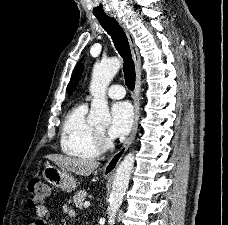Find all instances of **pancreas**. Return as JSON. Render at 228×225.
<instances>
[{
	"label": "pancreas",
	"instance_id": "pancreas-1",
	"mask_svg": "<svg viewBox=\"0 0 228 225\" xmlns=\"http://www.w3.org/2000/svg\"><path fill=\"white\" fill-rule=\"evenodd\" d=\"M85 197H87V191H78V193H75L73 197V201L76 207H79V209H82L83 203L85 201Z\"/></svg>",
	"mask_w": 228,
	"mask_h": 225
}]
</instances>
